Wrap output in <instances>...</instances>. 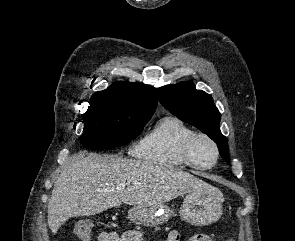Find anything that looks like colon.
I'll return each instance as SVG.
<instances>
[{
    "instance_id": "obj_1",
    "label": "colon",
    "mask_w": 295,
    "mask_h": 241,
    "mask_svg": "<svg viewBox=\"0 0 295 241\" xmlns=\"http://www.w3.org/2000/svg\"><path fill=\"white\" fill-rule=\"evenodd\" d=\"M91 232H92V224H88L81 232V238L84 241H89L91 237ZM222 241H234V240L226 239Z\"/></svg>"
}]
</instances>
